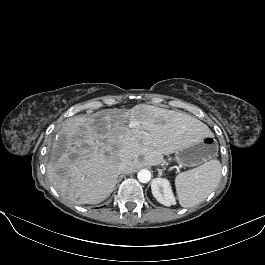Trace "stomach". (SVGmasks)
Instances as JSON below:
<instances>
[{"instance_id": "obj_1", "label": "stomach", "mask_w": 265, "mask_h": 265, "mask_svg": "<svg viewBox=\"0 0 265 265\" xmlns=\"http://www.w3.org/2000/svg\"><path fill=\"white\" fill-rule=\"evenodd\" d=\"M216 151L214 138L207 135L198 141L186 142L182 147L175 151L177 163L193 167L211 159Z\"/></svg>"}]
</instances>
